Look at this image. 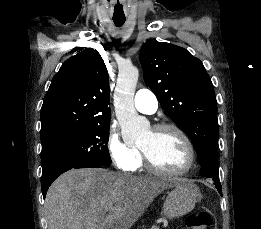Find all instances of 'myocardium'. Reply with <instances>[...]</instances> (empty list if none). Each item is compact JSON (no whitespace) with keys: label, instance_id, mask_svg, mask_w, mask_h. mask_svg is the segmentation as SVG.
<instances>
[{"label":"myocardium","instance_id":"f54148a6","mask_svg":"<svg viewBox=\"0 0 261 229\" xmlns=\"http://www.w3.org/2000/svg\"><path fill=\"white\" fill-rule=\"evenodd\" d=\"M165 130H171L174 131L175 133H177L180 138L182 139L186 150H187V154H188V159H187V163L186 165L177 171H169V170H165L161 167H159L149 156V154L142 148L139 146L141 155L143 157L144 163L146 168L158 175H162V176H181L186 174L187 172H189V170L192 168L194 161H195V151H194V147L193 144L190 140V138L187 136V134L178 126L173 125V124H168V123H162V124H158L156 126H154L151 129V132L153 134H158L162 131Z\"/></svg>","mask_w":261,"mask_h":229}]
</instances>
